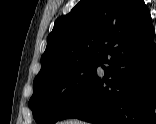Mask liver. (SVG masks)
Instances as JSON below:
<instances>
[{"label":"liver","mask_w":156,"mask_h":124,"mask_svg":"<svg viewBox=\"0 0 156 124\" xmlns=\"http://www.w3.org/2000/svg\"><path fill=\"white\" fill-rule=\"evenodd\" d=\"M62 124H86V123H83L82 121H78V120H69V121H65Z\"/></svg>","instance_id":"6515ba94"}]
</instances>
